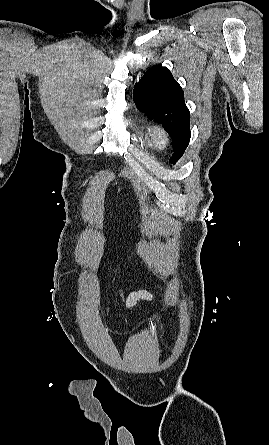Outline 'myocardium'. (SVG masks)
Segmentation results:
<instances>
[{"mask_svg":"<svg viewBox=\"0 0 269 445\" xmlns=\"http://www.w3.org/2000/svg\"><path fill=\"white\" fill-rule=\"evenodd\" d=\"M150 139L154 147H156L158 150H164L170 144L169 132L161 124H156L152 127Z\"/></svg>","mask_w":269,"mask_h":445,"instance_id":"obj_1","label":"myocardium"}]
</instances>
